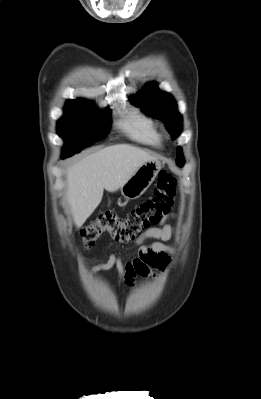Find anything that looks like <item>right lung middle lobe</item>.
<instances>
[{"mask_svg":"<svg viewBox=\"0 0 261 399\" xmlns=\"http://www.w3.org/2000/svg\"><path fill=\"white\" fill-rule=\"evenodd\" d=\"M65 115L58 121V134L65 140L62 157L78 153L104 138L109 130L111 111L101 112L89 101L67 102Z\"/></svg>","mask_w":261,"mask_h":399,"instance_id":"right-lung-middle-lobe-1","label":"right lung middle lobe"}]
</instances>
